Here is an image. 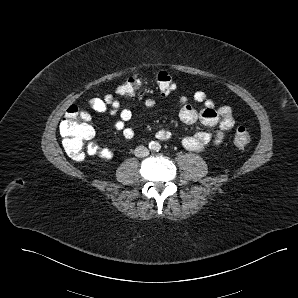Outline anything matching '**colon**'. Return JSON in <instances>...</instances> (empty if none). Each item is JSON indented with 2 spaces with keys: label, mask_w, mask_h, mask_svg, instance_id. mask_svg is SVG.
<instances>
[{
  "label": "colon",
  "mask_w": 298,
  "mask_h": 298,
  "mask_svg": "<svg viewBox=\"0 0 298 298\" xmlns=\"http://www.w3.org/2000/svg\"><path fill=\"white\" fill-rule=\"evenodd\" d=\"M144 85V76L135 73L125 79L117 88V93L127 97L136 96ZM156 87L163 95L171 94L176 86L172 76L166 71L156 75ZM63 148L74 161L81 162L90 150L97 145L95 131L86 114L76 105H71L65 112L60 125ZM252 141V133L246 126L236 129L234 143L239 148H246Z\"/></svg>",
  "instance_id": "obj_1"
}]
</instances>
